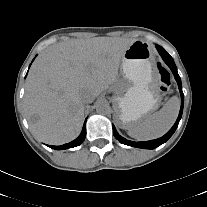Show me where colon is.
Segmentation results:
<instances>
[{"instance_id": "1", "label": "colon", "mask_w": 207, "mask_h": 207, "mask_svg": "<svg viewBox=\"0 0 207 207\" xmlns=\"http://www.w3.org/2000/svg\"><path fill=\"white\" fill-rule=\"evenodd\" d=\"M171 85L170 74L163 67H159V81H158V90L161 93H166Z\"/></svg>"}]
</instances>
